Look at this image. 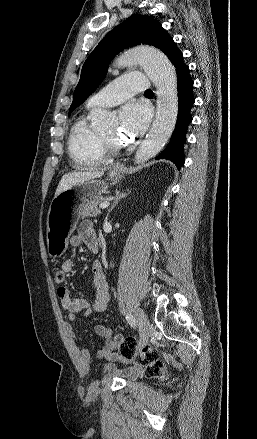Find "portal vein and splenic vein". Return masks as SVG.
Returning <instances> with one entry per match:
<instances>
[{
  "label": "portal vein and splenic vein",
  "mask_w": 257,
  "mask_h": 439,
  "mask_svg": "<svg viewBox=\"0 0 257 439\" xmlns=\"http://www.w3.org/2000/svg\"><path fill=\"white\" fill-rule=\"evenodd\" d=\"M109 205H110V202H109V201H105V202H102V203L99 205V208H101V209H105V208H107Z\"/></svg>",
  "instance_id": "portal-vein-and-splenic-vein-1"
}]
</instances>
